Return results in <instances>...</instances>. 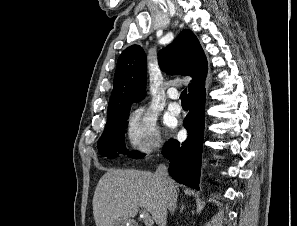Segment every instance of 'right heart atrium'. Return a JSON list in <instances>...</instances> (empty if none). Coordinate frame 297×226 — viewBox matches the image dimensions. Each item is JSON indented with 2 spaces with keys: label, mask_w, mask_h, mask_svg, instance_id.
<instances>
[{
  "label": "right heart atrium",
  "mask_w": 297,
  "mask_h": 226,
  "mask_svg": "<svg viewBox=\"0 0 297 226\" xmlns=\"http://www.w3.org/2000/svg\"><path fill=\"white\" fill-rule=\"evenodd\" d=\"M127 138L139 153L151 154L161 146V136L155 119L145 107L134 110L128 121Z\"/></svg>",
  "instance_id": "d8ad5b80"
}]
</instances>
